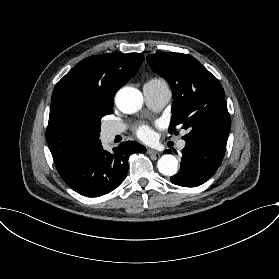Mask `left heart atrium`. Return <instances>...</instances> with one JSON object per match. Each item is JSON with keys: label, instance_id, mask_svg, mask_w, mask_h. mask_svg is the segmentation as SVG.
<instances>
[{"label": "left heart atrium", "instance_id": "obj_1", "mask_svg": "<svg viewBox=\"0 0 279 279\" xmlns=\"http://www.w3.org/2000/svg\"><path fill=\"white\" fill-rule=\"evenodd\" d=\"M137 136L142 140H148L151 138L152 130L150 126L146 124H141L136 129Z\"/></svg>", "mask_w": 279, "mask_h": 279}]
</instances>
